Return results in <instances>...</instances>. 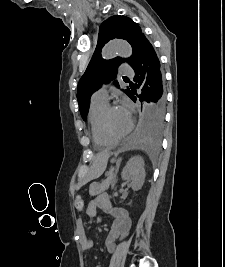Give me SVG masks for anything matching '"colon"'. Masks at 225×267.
Instances as JSON below:
<instances>
[{
	"label": "colon",
	"instance_id": "colon-1",
	"mask_svg": "<svg viewBox=\"0 0 225 267\" xmlns=\"http://www.w3.org/2000/svg\"><path fill=\"white\" fill-rule=\"evenodd\" d=\"M74 208L77 212H82L84 209V201L81 196H77L74 202Z\"/></svg>",
	"mask_w": 225,
	"mask_h": 267
}]
</instances>
